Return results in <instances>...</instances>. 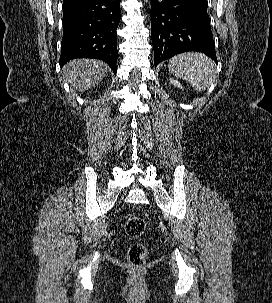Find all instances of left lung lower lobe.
Segmentation results:
<instances>
[{
    "label": "left lung lower lobe",
    "instance_id": "1",
    "mask_svg": "<svg viewBox=\"0 0 272 303\" xmlns=\"http://www.w3.org/2000/svg\"><path fill=\"white\" fill-rule=\"evenodd\" d=\"M207 0H151L154 64L198 51L217 62Z\"/></svg>",
    "mask_w": 272,
    "mask_h": 303
}]
</instances>
